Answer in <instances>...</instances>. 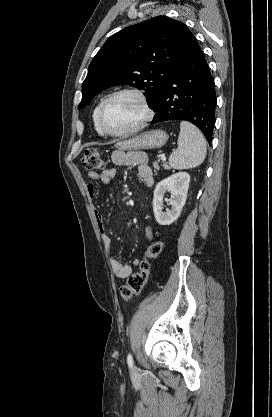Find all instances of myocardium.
<instances>
[{"mask_svg": "<svg viewBox=\"0 0 272 417\" xmlns=\"http://www.w3.org/2000/svg\"><path fill=\"white\" fill-rule=\"evenodd\" d=\"M122 95H131L134 96L135 98L138 99V101L140 102V104L142 105L143 111H144V116L141 119V121L139 123H137L136 125H134L133 127L125 130V131H121V132H110L108 131L104 124H103V116H104V112L107 108V106L117 97L122 96ZM153 109L147 99V97L145 96V94L136 88H124V89H120L117 90L115 92H113L112 94H110L107 98H105V100L103 101L102 105L100 106L99 112H98V117H97V123H98V127L100 132L105 135V136H109V137H125V136H129L131 134H134L138 131H140L141 129H143L153 118Z\"/></svg>", "mask_w": 272, "mask_h": 417, "instance_id": "myocardium-1", "label": "myocardium"}]
</instances>
